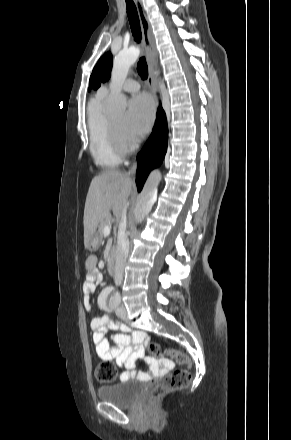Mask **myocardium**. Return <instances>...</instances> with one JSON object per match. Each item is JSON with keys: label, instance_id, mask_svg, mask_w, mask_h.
<instances>
[{"label": "myocardium", "instance_id": "obj_1", "mask_svg": "<svg viewBox=\"0 0 291 440\" xmlns=\"http://www.w3.org/2000/svg\"><path fill=\"white\" fill-rule=\"evenodd\" d=\"M107 128L111 143L120 155L127 153L134 147L133 143L118 132L110 118L107 119Z\"/></svg>", "mask_w": 291, "mask_h": 440}]
</instances>
